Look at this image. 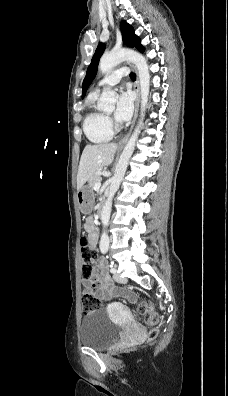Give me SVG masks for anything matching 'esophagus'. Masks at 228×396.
Wrapping results in <instances>:
<instances>
[{
  "mask_svg": "<svg viewBox=\"0 0 228 396\" xmlns=\"http://www.w3.org/2000/svg\"><path fill=\"white\" fill-rule=\"evenodd\" d=\"M132 66L135 69L136 74H137V78H136V81H135V84H134V89L136 91L135 113H134V117H133L131 128H130L129 132L126 134V136L119 141V143H118L119 147L124 146L125 143L127 142L128 138H129V136L131 134V131H132L133 127H134V124L136 122V119H137V116H138V110H139V101H140L139 75H138V71H137L136 67L134 65H132Z\"/></svg>",
  "mask_w": 228,
  "mask_h": 396,
  "instance_id": "esophagus-1",
  "label": "esophagus"
}]
</instances>
